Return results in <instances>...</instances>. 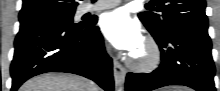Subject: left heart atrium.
<instances>
[{"label":"left heart atrium","mask_w":220,"mask_h":91,"mask_svg":"<svg viewBox=\"0 0 220 91\" xmlns=\"http://www.w3.org/2000/svg\"><path fill=\"white\" fill-rule=\"evenodd\" d=\"M100 27L107 39L120 50L135 53L143 45L139 24L125 9L105 13Z\"/></svg>","instance_id":"1"}]
</instances>
